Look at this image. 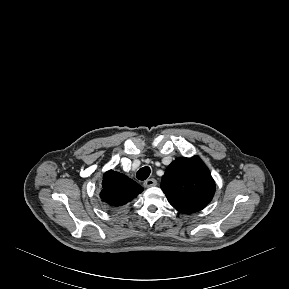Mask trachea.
I'll use <instances>...</instances> for the list:
<instances>
[{"label": "trachea", "mask_w": 289, "mask_h": 289, "mask_svg": "<svg viewBox=\"0 0 289 289\" xmlns=\"http://www.w3.org/2000/svg\"><path fill=\"white\" fill-rule=\"evenodd\" d=\"M150 173H151L150 168L148 166H145L138 170L136 177L139 180H145L149 177Z\"/></svg>", "instance_id": "3493384b"}]
</instances>
